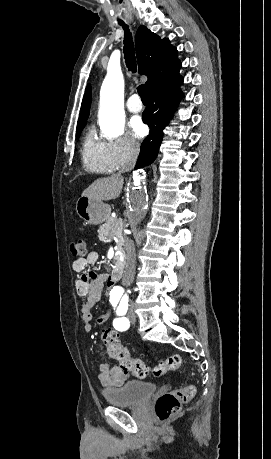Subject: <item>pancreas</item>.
Segmentation results:
<instances>
[{"mask_svg":"<svg viewBox=\"0 0 271 459\" xmlns=\"http://www.w3.org/2000/svg\"><path fill=\"white\" fill-rule=\"evenodd\" d=\"M122 228L123 222L121 218H109L107 224H103L99 229L100 235H104V237H112V235H116L118 239V247L123 245V237H122Z\"/></svg>","mask_w":271,"mask_h":459,"instance_id":"cf45deb5","label":"pancreas"}]
</instances>
